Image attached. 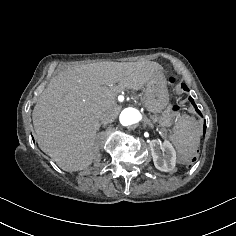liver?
Returning <instances> with one entry per match:
<instances>
[{
    "mask_svg": "<svg viewBox=\"0 0 236 236\" xmlns=\"http://www.w3.org/2000/svg\"><path fill=\"white\" fill-rule=\"evenodd\" d=\"M164 68L154 61L77 65L51 78L37 99L32 121L41 151L66 172L91 166L97 132L115 121L117 95L139 91Z\"/></svg>",
    "mask_w": 236,
    "mask_h": 236,
    "instance_id": "liver-1",
    "label": "liver"
}]
</instances>
